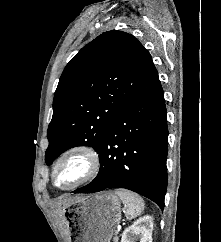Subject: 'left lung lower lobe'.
I'll use <instances>...</instances> for the list:
<instances>
[{"label":"left lung lower lobe","instance_id":"0a47b994","mask_svg":"<svg viewBox=\"0 0 221 242\" xmlns=\"http://www.w3.org/2000/svg\"><path fill=\"white\" fill-rule=\"evenodd\" d=\"M166 115L157 75L110 124L98 151L101 166L97 177L74 193L125 188L163 209L167 189Z\"/></svg>","mask_w":221,"mask_h":242}]
</instances>
